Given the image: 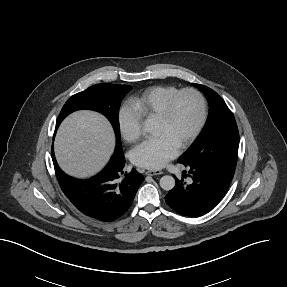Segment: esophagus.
Returning <instances> with one entry per match:
<instances>
[{"label":"esophagus","instance_id":"1","mask_svg":"<svg viewBox=\"0 0 287 287\" xmlns=\"http://www.w3.org/2000/svg\"><path fill=\"white\" fill-rule=\"evenodd\" d=\"M163 172L160 171V170H147L145 172L146 175H150V176H154V175H160L162 174Z\"/></svg>","mask_w":287,"mask_h":287}]
</instances>
